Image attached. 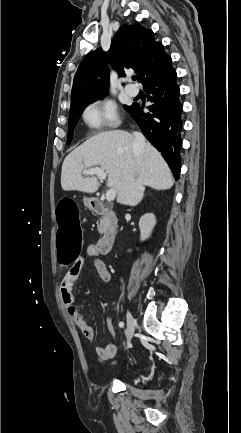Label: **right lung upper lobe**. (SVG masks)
I'll return each mask as SVG.
<instances>
[{"label": "right lung upper lobe", "instance_id": "cb5924a9", "mask_svg": "<svg viewBox=\"0 0 241 433\" xmlns=\"http://www.w3.org/2000/svg\"><path fill=\"white\" fill-rule=\"evenodd\" d=\"M106 62L125 76L124 68H132L143 84L162 72L171 62L162 43L154 41V33L139 24L123 25L111 41L107 53L101 48L89 53L74 77L71 106L77 102L105 96L108 93L109 69Z\"/></svg>", "mask_w": 241, "mask_h": 433}]
</instances>
